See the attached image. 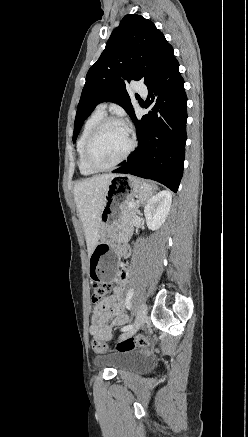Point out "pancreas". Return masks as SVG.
<instances>
[{
	"label": "pancreas",
	"instance_id": "cf45deb5",
	"mask_svg": "<svg viewBox=\"0 0 248 437\" xmlns=\"http://www.w3.org/2000/svg\"><path fill=\"white\" fill-rule=\"evenodd\" d=\"M129 203H131V202H127L123 206L120 223H121V228H122L123 232L132 234L133 218L135 217V215L137 213V205L135 204L134 206L131 207V206H129Z\"/></svg>",
	"mask_w": 248,
	"mask_h": 437
}]
</instances>
